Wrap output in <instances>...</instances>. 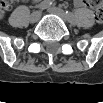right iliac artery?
<instances>
[{
  "label": "right iliac artery",
  "mask_w": 103,
  "mask_h": 103,
  "mask_svg": "<svg viewBox=\"0 0 103 103\" xmlns=\"http://www.w3.org/2000/svg\"><path fill=\"white\" fill-rule=\"evenodd\" d=\"M52 5V2L50 0H44L40 4L37 5V8L44 10L46 8H49Z\"/></svg>",
  "instance_id": "obj_1"
}]
</instances>
